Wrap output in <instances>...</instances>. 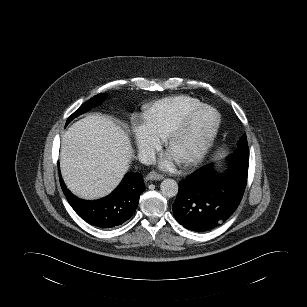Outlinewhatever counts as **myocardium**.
<instances>
[{
  "label": "myocardium",
  "mask_w": 307,
  "mask_h": 307,
  "mask_svg": "<svg viewBox=\"0 0 307 307\" xmlns=\"http://www.w3.org/2000/svg\"><path fill=\"white\" fill-rule=\"evenodd\" d=\"M210 110L215 115V122L206 134L204 139L195 147V149L184 159L178 161L180 165L189 166L200 161L205 154L210 149L212 143L214 142L221 124V116L216 108L208 104H199L191 109H189L179 120L176 126L170 131V133L164 139V148L166 152L169 153L170 147L172 144L179 139L185 132L191 118L201 110Z\"/></svg>",
  "instance_id": "f54148a6"
}]
</instances>
